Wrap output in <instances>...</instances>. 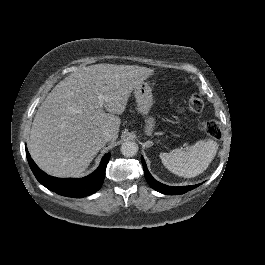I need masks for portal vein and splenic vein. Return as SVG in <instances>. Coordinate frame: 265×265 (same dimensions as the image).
Masks as SVG:
<instances>
[{
  "instance_id": "1",
  "label": "portal vein and splenic vein",
  "mask_w": 265,
  "mask_h": 265,
  "mask_svg": "<svg viewBox=\"0 0 265 265\" xmlns=\"http://www.w3.org/2000/svg\"><path fill=\"white\" fill-rule=\"evenodd\" d=\"M98 99H99L100 106H103V103H104V100H105L104 95L103 94H98Z\"/></svg>"
}]
</instances>
